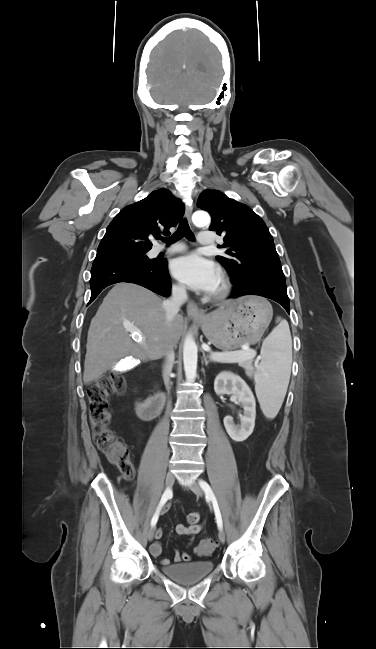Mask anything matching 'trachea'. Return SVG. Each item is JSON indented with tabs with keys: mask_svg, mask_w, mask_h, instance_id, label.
Segmentation results:
<instances>
[{
	"mask_svg": "<svg viewBox=\"0 0 376 649\" xmlns=\"http://www.w3.org/2000/svg\"><path fill=\"white\" fill-rule=\"evenodd\" d=\"M183 237L187 238L190 241H194V234L192 233L187 220H182L179 223L177 231L168 238H158L164 241L166 244L174 243Z\"/></svg>",
	"mask_w": 376,
	"mask_h": 649,
	"instance_id": "trachea-1",
	"label": "trachea"
}]
</instances>
